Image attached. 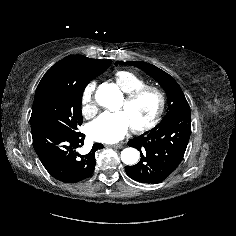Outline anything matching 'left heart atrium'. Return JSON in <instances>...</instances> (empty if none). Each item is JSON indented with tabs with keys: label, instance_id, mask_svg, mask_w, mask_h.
<instances>
[{
	"label": "left heart atrium",
	"instance_id": "1",
	"mask_svg": "<svg viewBox=\"0 0 236 236\" xmlns=\"http://www.w3.org/2000/svg\"><path fill=\"white\" fill-rule=\"evenodd\" d=\"M131 127L124 111L106 112L89 125L88 134L95 141L112 144L120 141Z\"/></svg>",
	"mask_w": 236,
	"mask_h": 236
}]
</instances>
